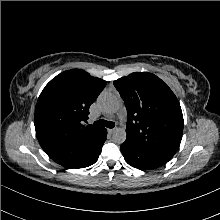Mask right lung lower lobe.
<instances>
[{
    "label": "right lung lower lobe",
    "mask_w": 220,
    "mask_h": 220,
    "mask_svg": "<svg viewBox=\"0 0 220 220\" xmlns=\"http://www.w3.org/2000/svg\"><path fill=\"white\" fill-rule=\"evenodd\" d=\"M106 135H107V130L105 129L103 134H102V136L100 137V139L94 145H92V148H91V158L89 159L88 162H86L83 165H79V166H74V167L64 166V167H67V168H83V167H88V166L94 164L97 161V159H98V157L100 155V152H101V149H102V145H103V143L106 140Z\"/></svg>",
    "instance_id": "98d812e1"
}]
</instances>
